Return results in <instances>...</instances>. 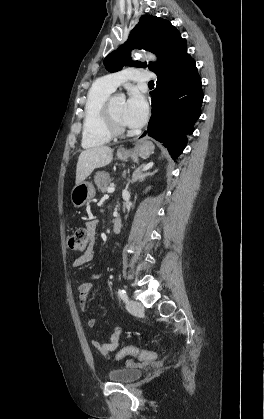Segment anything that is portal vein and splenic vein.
Returning <instances> with one entry per match:
<instances>
[{
  "label": "portal vein and splenic vein",
  "instance_id": "1",
  "mask_svg": "<svg viewBox=\"0 0 264 419\" xmlns=\"http://www.w3.org/2000/svg\"><path fill=\"white\" fill-rule=\"evenodd\" d=\"M150 165H148L147 167H149ZM146 167V168H147ZM115 191V188L114 187H112V186H110L108 189H107V192L108 193H113Z\"/></svg>",
  "mask_w": 264,
  "mask_h": 419
}]
</instances>
